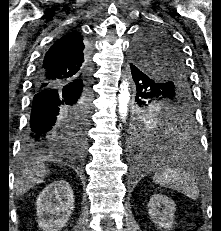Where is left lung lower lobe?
<instances>
[{"mask_svg":"<svg viewBox=\"0 0 221 231\" xmlns=\"http://www.w3.org/2000/svg\"><path fill=\"white\" fill-rule=\"evenodd\" d=\"M132 78L136 86L135 113L139 110L141 103L166 88L164 83L153 80L143 72L137 65L130 64ZM173 130L167 133L157 132L149 136L132 134V149L135 155L144 160L155 162L160 149H167L169 157L165 160L178 166H188L191 159L198 152L197 135L194 132L195 123L193 118L186 117L172 124ZM182 134L178 133V131Z\"/></svg>","mask_w":221,"mask_h":231,"instance_id":"1","label":"left lung lower lobe"}]
</instances>
